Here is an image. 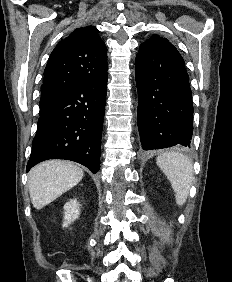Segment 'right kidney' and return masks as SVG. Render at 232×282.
Returning <instances> with one entry per match:
<instances>
[{
	"label": "right kidney",
	"mask_w": 232,
	"mask_h": 282,
	"mask_svg": "<svg viewBox=\"0 0 232 282\" xmlns=\"http://www.w3.org/2000/svg\"><path fill=\"white\" fill-rule=\"evenodd\" d=\"M80 215V204L77 199H72L64 205V222L63 227H68L71 222L76 220Z\"/></svg>",
	"instance_id": "obj_1"
}]
</instances>
